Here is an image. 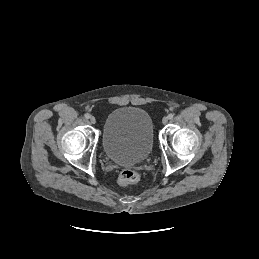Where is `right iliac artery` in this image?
<instances>
[{"label":"right iliac artery","instance_id":"right-iliac-artery-1","mask_svg":"<svg viewBox=\"0 0 259 259\" xmlns=\"http://www.w3.org/2000/svg\"><path fill=\"white\" fill-rule=\"evenodd\" d=\"M84 116L86 119L90 118V115L88 113H86Z\"/></svg>","mask_w":259,"mask_h":259}]
</instances>
